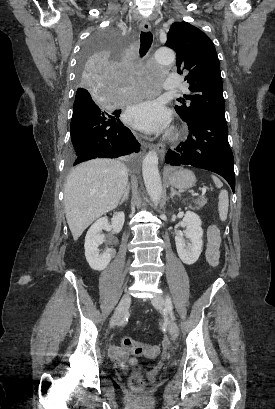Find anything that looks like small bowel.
<instances>
[{
    "mask_svg": "<svg viewBox=\"0 0 275 409\" xmlns=\"http://www.w3.org/2000/svg\"><path fill=\"white\" fill-rule=\"evenodd\" d=\"M219 247H220V236L218 228L216 226H211L208 231V243L206 249V258L211 266H216L219 261ZM110 356L112 359L119 363H130L135 364L136 360L134 358H129L127 351L123 348L112 346L110 349Z\"/></svg>",
    "mask_w": 275,
    "mask_h": 409,
    "instance_id": "1",
    "label": "small bowel"
}]
</instances>
